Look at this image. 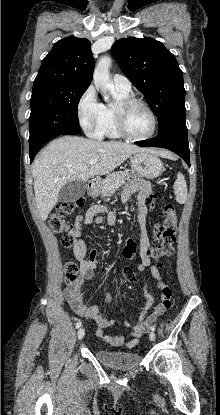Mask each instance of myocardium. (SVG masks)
Returning a JSON list of instances; mask_svg holds the SVG:
<instances>
[{
	"label": "myocardium",
	"instance_id": "myocardium-1",
	"mask_svg": "<svg viewBox=\"0 0 220 415\" xmlns=\"http://www.w3.org/2000/svg\"><path fill=\"white\" fill-rule=\"evenodd\" d=\"M134 106H140L144 108L151 116L152 129L145 136H141V137L133 136L126 129L125 114L130 108ZM114 120H115V127H116L118 134L121 137L128 139L130 141H144V140L150 139L155 134L157 130V125H158L157 116L154 110L148 104L136 98H126V99L118 101V103L114 107Z\"/></svg>",
	"mask_w": 220,
	"mask_h": 415
}]
</instances>
